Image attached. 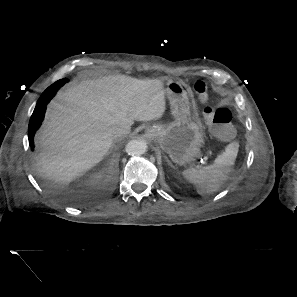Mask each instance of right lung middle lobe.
Segmentation results:
<instances>
[{"label": "right lung middle lobe", "instance_id": "1", "mask_svg": "<svg viewBox=\"0 0 297 297\" xmlns=\"http://www.w3.org/2000/svg\"><path fill=\"white\" fill-rule=\"evenodd\" d=\"M66 82H68L67 79H61L52 84L50 87H48L45 92L42 95H55L57 90L64 85Z\"/></svg>", "mask_w": 297, "mask_h": 297}]
</instances>
